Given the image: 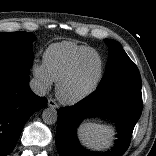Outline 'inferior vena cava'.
<instances>
[{"mask_svg": "<svg viewBox=\"0 0 156 156\" xmlns=\"http://www.w3.org/2000/svg\"><path fill=\"white\" fill-rule=\"evenodd\" d=\"M30 88L38 96L46 95L47 88H46L45 84L39 79L33 78L30 81Z\"/></svg>", "mask_w": 156, "mask_h": 156, "instance_id": "1", "label": "inferior vena cava"}]
</instances>
